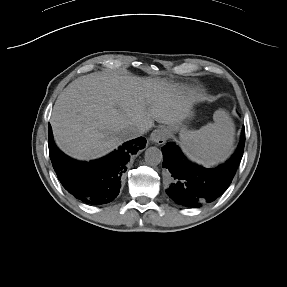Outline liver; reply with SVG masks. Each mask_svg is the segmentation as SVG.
I'll return each instance as SVG.
<instances>
[{
  "label": "liver",
  "instance_id": "1",
  "mask_svg": "<svg viewBox=\"0 0 287 287\" xmlns=\"http://www.w3.org/2000/svg\"><path fill=\"white\" fill-rule=\"evenodd\" d=\"M192 101L178 96L165 82L94 72L72 81L58 96L51 126L58 147L78 160L107 155L127 141L123 129L154 121L175 125Z\"/></svg>",
  "mask_w": 287,
  "mask_h": 287
}]
</instances>
